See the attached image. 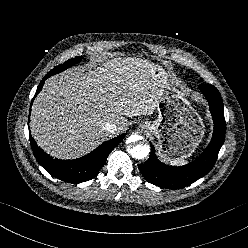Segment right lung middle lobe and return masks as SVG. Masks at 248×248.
I'll return each instance as SVG.
<instances>
[{
  "label": "right lung middle lobe",
  "mask_w": 248,
  "mask_h": 248,
  "mask_svg": "<svg viewBox=\"0 0 248 248\" xmlns=\"http://www.w3.org/2000/svg\"><path fill=\"white\" fill-rule=\"evenodd\" d=\"M82 59V56H79V57H76V58H72V59H69L68 61H66L65 63L63 64H60L58 66H56L54 69H52L50 72H52L53 74H56V73H59L71 66H73L74 64L80 62Z\"/></svg>",
  "instance_id": "right-lung-middle-lobe-1"
}]
</instances>
